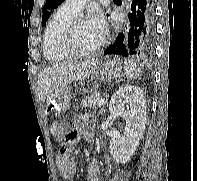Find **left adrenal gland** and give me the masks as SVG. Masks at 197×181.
I'll use <instances>...</instances> for the list:
<instances>
[{"instance_id": "obj_1", "label": "left adrenal gland", "mask_w": 197, "mask_h": 181, "mask_svg": "<svg viewBox=\"0 0 197 181\" xmlns=\"http://www.w3.org/2000/svg\"><path fill=\"white\" fill-rule=\"evenodd\" d=\"M105 105L106 103L103 105V107L101 108V110L99 111V114H102L105 111Z\"/></svg>"}]
</instances>
